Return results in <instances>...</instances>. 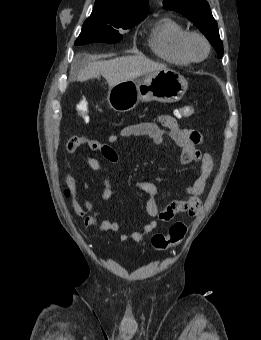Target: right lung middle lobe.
Listing matches in <instances>:
<instances>
[{"label": "right lung middle lobe", "mask_w": 261, "mask_h": 340, "mask_svg": "<svg viewBox=\"0 0 261 340\" xmlns=\"http://www.w3.org/2000/svg\"><path fill=\"white\" fill-rule=\"evenodd\" d=\"M142 20L112 18L101 13L92 12L91 16L84 22L75 45L92 42L116 43L122 38V35L117 30L118 28H132Z\"/></svg>", "instance_id": "1"}]
</instances>
